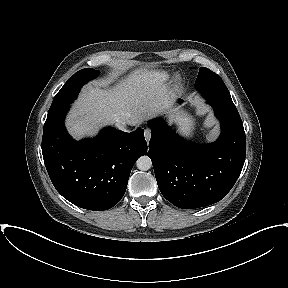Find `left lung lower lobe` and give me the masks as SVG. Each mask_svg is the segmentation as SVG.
Returning a JSON list of instances; mask_svg holds the SVG:
<instances>
[{
    "mask_svg": "<svg viewBox=\"0 0 288 288\" xmlns=\"http://www.w3.org/2000/svg\"><path fill=\"white\" fill-rule=\"evenodd\" d=\"M207 102L221 123V135L213 143L195 145L164 126L161 119L149 122L148 156L158 187L165 199L182 209L220 201L234 186L245 162V132L236 107Z\"/></svg>",
    "mask_w": 288,
    "mask_h": 288,
    "instance_id": "left-lung-lower-lobe-1",
    "label": "left lung lower lobe"
}]
</instances>
